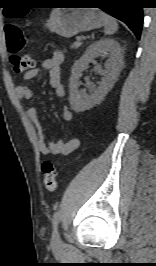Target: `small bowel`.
Returning a JSON list of instances; mask_svg holds the SVG:
<instances>
[{"label": "small bowel", "mask_w": 156, "mask_h": 266, "mask_svg": "<svg viewBox=\"0 0 156 266\" xmlns=\"http://www.w3.org/2000/svg\"><path fill=\"white\" fill-rule=\"evenodd\" d=\"M63 62V54L59 51L55 52L51 57L45 59L39 68L32 69L26 72L24 78L26 80L36 77L41 71H48L50 75V86L60 98L64 97L65 89L62 81L61 64ZM16 97L20 101H30L33 98L32 89L28 85H19L15 90ZM27 116L34 124L38 132V150L44 155H68L74 152L80 146V141L77 138L70 139L68 141H46L45 135L42 130L38 112L35 107H29L27 110ZM72 111L64 106L62 109V118L65 121L72 120Z\"/></svg>", "instance_id": "1"}]
</instances>
